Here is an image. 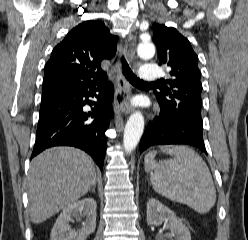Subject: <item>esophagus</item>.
Instances as JSON below:
<instances>
[{
    "mask_svg": "<svg viewBox=\"0 0 248 240\" xmlns=\"http://www.w3.org/2000/svg\"><path fill=\"white\" fill-rule=\"evenodd\" d=\"M136 51V39L132 34H129L125 40L124 54L129 61H133ZM131 107V90L123 73L122 66L119 65L117 72V92L114 99L115 113L129 114Z\"/></svg>",
    "mask_w": 248,
    "mask_h": 240,
    "instance_id": "esophagus-1",
    "label": "esophagus"
}]
</instances>
